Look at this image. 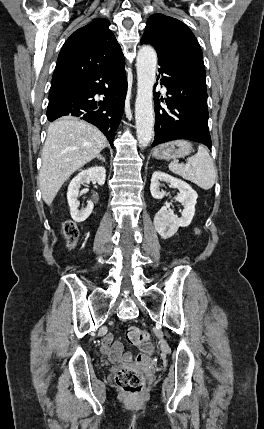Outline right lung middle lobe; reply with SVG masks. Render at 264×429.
<instances>
[{
    "label": "right lung middle lobe",
    "mask_w": 264,
    "mask_h": 429,
    "mask_svg": "<svg viewBox=\"0 0 264 429\" xmlns=\"http://www.w3.org/2000/svg\"><path fill=\"white\" fill-rule=\"evenodd\" d=\"M60 89H62V87L61 88H51L49 96H52L53 94H55L56 92H58Z\"/></svg>",
    "instance_id": "right-lung-middle-lobe-1"
}]
</instances>
